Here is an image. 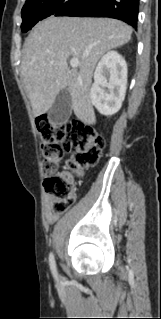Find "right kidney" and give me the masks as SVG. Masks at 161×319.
Listing matches in <instances>:
<instances>
[{
  "mask_svg": "<svg viewBox=\"0 0 161 319\" xmlns=\"http://www.w3.org/2000/svg\"><path fill=\"white\" fill-rule=\"evenodd\" d=\"M127 88V64L116 51L107 52L99 61L91 87L92 104L103 115L119 111Z\"/></svg>",
  "mask_w": 161,
  "mask_h": 319,
  "instance_id": "ca27d5eb",
  "label": "right kidney"
}]
</instances>
